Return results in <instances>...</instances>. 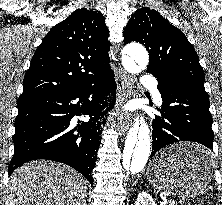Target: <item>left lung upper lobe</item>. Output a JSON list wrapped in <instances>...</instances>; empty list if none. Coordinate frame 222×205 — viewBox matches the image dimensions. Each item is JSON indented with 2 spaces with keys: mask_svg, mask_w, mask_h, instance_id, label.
Here are the masks:
<instances>
[{
  "mask_svg": "<svg viewBox=\"0 0 222 205\" xmlns=\"http://www.w3.org/2000/svg\"><path fill=\"white\" fill-rule=\"evenodd\" d=\"M136 41L149 52V73H166L204 88V72L186 36L148 7L138 9L124 29V44Z\"/></svg>",
  "mask_w": 222,
  "mask_h": 205,
  "instance_id": "5c2ea615",
  "label": "left lung upper lobe"
}]
</instances>
